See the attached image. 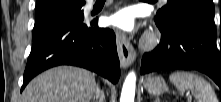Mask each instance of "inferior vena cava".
<instances>
[{"instance_id":"1","label":"inferior vena cava","mask_w":221,"mask_h":102,"mask_svg":"<svg viewBox=\"0 0 221 102\" xmlns=\"http://www.w3.org/2000/svg\"><path fill=\"white\" fill-rule=\"evenodd\" d=\"M96 95L100 97L99 102H103L104 94L98 89V87L96 88Z\"/></svg>"}]
</instances>
